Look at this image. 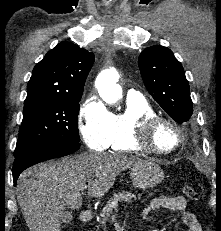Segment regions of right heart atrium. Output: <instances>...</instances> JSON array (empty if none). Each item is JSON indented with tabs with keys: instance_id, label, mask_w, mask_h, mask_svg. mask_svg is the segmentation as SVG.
Returning <instances> with one entry per match:
<instances>
[{
	"instance_id": "d8ad5b80",
	"label": "right heart atrium",
	"mask_w": 221,
	"mask_h": 231,
	"mask_svg": "<svg viewBox=\"0 0 221 231\" xmlns=\"http://www.w3.org/2000/svg\"><path fill=\"white\" fill-rule=\"evenodd\" d=\"M113 114L96 96H89L82 104L78 124L84 143L92 150L107 148L112 128Z\"/></svg>"
}]
</instances>
